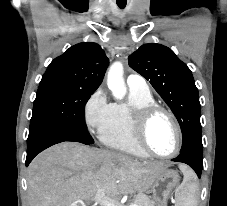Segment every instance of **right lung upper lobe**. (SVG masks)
<instances>
[{
    "instance_id": "right-lung-upper-lobe-1",
    "label": "right lung upper lobe",
    "mask_w": 227,
    "mask_h": 206,
    "mask_svg": "<svg viewBox=\"0 0 227 206\" xmlns=\"http://www.w3.org/2000/svg\"><path fill=\"white\" fill-rule=\"evenodd\" d=\"M108 63L100 45L79 43L50 63L40 85L95 91L103 80Z\"/></svg>"
}]
</instances>
